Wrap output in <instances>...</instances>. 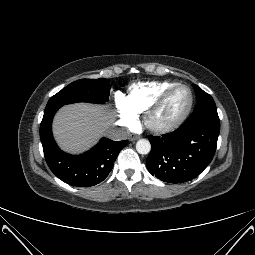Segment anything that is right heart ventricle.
<instances>
[{
  "instance_id": "right-heart-ventricle-1",
  "label": "right heart ventricle",
  "mask_w": 255,
  "mask_h": 255,
  "mask_svg": "<svg viewBox=\"0 0 255 255\" xmlns=\"http://www.w3.org/2000/svg\"><path fill=\"white\" fill-rule=\"evenodd\" d=\"M175 85L169 81L135 84L129 88L123 100L135 114L144 113L163 92Z\"/></svg>"
}]
</instances>
